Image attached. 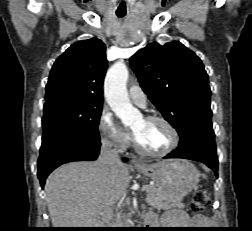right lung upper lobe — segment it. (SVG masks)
<instances>
[{
	"label": "right lung upper lobe",
	"instance_id": "1",
	"mask_svg": "<svg viewBox=\"0 0 252 231\" xmlns=\"http://www.w3.org/2000/svg\"><path fill=\"white\" fill-rule=\"evenodd\" d=\"M105 45L97 38L72 44L51 69L45 99L68 95L102 102L103 81L107 69Z\"/></svg>",
	"mask_w": 252,
	"mask_h": 231
}]
</instances>
